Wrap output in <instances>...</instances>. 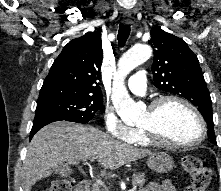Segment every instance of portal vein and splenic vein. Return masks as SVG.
<instances>
[{
	"label": "portal vein and splenic vein",
	"instance_id": "1",
	"mask_svg": "<svg viewBox=\"0 0 221 191\" xmlns=\"http://www.w3.org/2000/svg\"><path fill=\"white\" fill-rule=\"evenodd\" d=\"M90 160H91V161H94L95 158H91ZM96 183H97V184H100V185H104V182H102L101 180H97ZM135 189H136V187H133V189L130 190V191H134Z\"/></svg>",
	"mask_w": 221,
	"mask_h": 191
}]
</instances>
